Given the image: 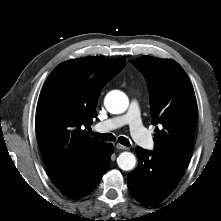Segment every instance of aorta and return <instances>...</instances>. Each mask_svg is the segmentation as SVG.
<instances>
[{
    "mask_svg": "<svg viewBox=\"0 0 221 221\" xmlns=\"http://www.w3.org/2000/svg\"><path fill=\"white\" fill-rule=\"evenodd\" d=\"M104 105L108 112L112 114L124 113L128 106L129 100L125 93L119 90L110 91L105 99ZM117 164L124 171L132 170L136 165V158L130 152H122L117 158Z\"/></svg>",
    "mask_w": 221,
    "mask_h": 221,
    "instance_id": "1",
    "label": "aorta"
}]
</instances>
